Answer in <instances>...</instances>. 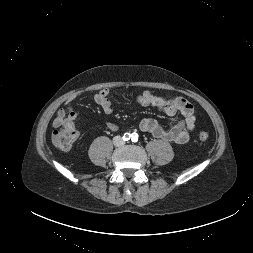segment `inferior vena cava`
<instances>
[{"mask_svg":"<svg viewBox=\"0 0 253 253\" xmlns=\"http://www.w3.org/2000/svg\"><path fill=\"white\" fill-rule=\"evenodd\" d=\"M114 144H115L116 146H120V145L124 144V142L121 140V137L118 136V137H117V141H114Z\"/></svg>","mask_w":253,"mask_h":253,"instance_id":"obj_1","label":"inferior vena cava"}]
</instances>
